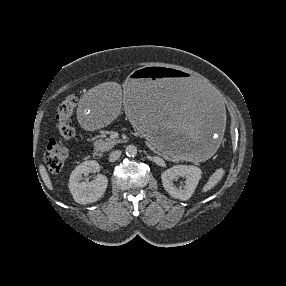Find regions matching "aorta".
<instances>
[{
  "label": "aorta",
  "instance_id": "1",
  "mask_svg": "<svg viewBox=\"0 0 286 286\" xmlns=\"http://www.w3.org/2000/svg\"><path fill=\"white\" fill-rule=\"evenodd\" d=\"M125 151L127 156L134 157L137 154V147L134 145H128Z\"/></svg>",
  "mask_w": 286,
  "mask_h": 286
}]
</instances>
